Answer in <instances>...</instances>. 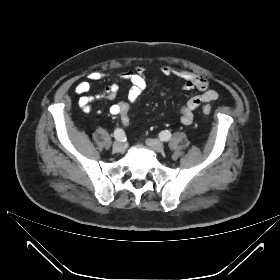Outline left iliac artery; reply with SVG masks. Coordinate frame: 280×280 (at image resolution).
Wrapping results in <instances>:
<instances>
[{
  "mask_svg": "<svg viewBox=\"0 0 280 280\" xmlns=\"http://www.w3.org/2000/svg\"><path fill=\"white\" fill-rule=\"evenodd\" d=\"M159 137L162 141H169L171 139V133L168 130H165L159 134Z\"/></svg>",
  "mask_w": 280,
  "mask_h": 280,
  "instance_id": "1",
  "label": "left iliac artery"
}]
</instances>
